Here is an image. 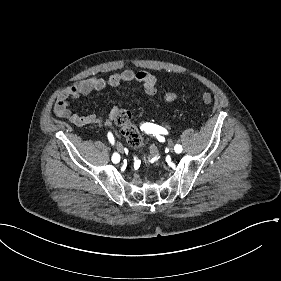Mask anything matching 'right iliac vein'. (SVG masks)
<instances>
[{
    "instance_id": "obj_1",
    "label": "right iliac vein",
    "mask_w": 281,
    "mask_h": 281,
    "mask_svg": "<svg viewBox=\"0 0 281 281\" xmlns=\"http://www.w3.org/2000/svg\"><path fill=\"white\" fill-rule=\"evenodd\" d=\"M116 148H117L118 152L123 153L124 150H123V146L121 144H117Z\"/></svg>"
}]
</instances>
